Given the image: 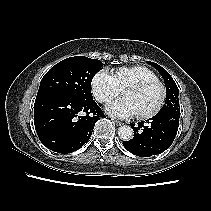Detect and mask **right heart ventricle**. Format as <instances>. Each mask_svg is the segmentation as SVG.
<instances>
[{"instance_id": "1", "label": "right heart ventricle", "mask_w": 211, "mask_h": 211, "mask_svg": "<svg viewBox=\"0 0 211 211\" xmlns=\"http://www.w3.org/2000/svg\"><path fill=\"white\" fill-rule=\"evenodd\" d=\"M113 75L120 89H124L130 84L139 81L158 79L156 73L153 70L141 65L120 67L114 71Z\"/></svg>"}]
</instances>
